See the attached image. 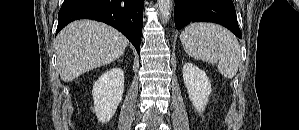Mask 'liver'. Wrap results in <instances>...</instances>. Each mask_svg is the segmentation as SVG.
Segmentation results:
<instances>
[{
	"label": "liver",
	"mask_w": 299,
	"mask_h": 130,
	"mask_svg": "<svg viewBox=\"0 0 299 130\" xmlns=\"http://www.w3.org/2000/svg\"><path fill=\"white\" fill-rule=\"evenodd\" d=\"M129 41L101 22L78 20L57 35L55 46L60 77L71 82L83 73L117 60Z\"/></svg>",
	"instance_id": "obj_1"
}]
</instances>
